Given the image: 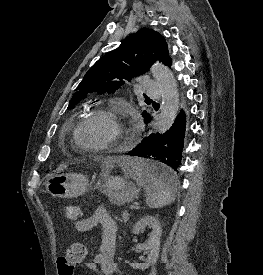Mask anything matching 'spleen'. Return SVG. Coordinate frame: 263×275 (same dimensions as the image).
I'll list each match as a JSON object with an SVG mask.
<instances>
[{"label":"spleen","instance_id":"obj_1","mask_svg":"<svg viewBox=\"0 0 263 275\" xmlns=\"http://www.w3.org/2000/svg\"><path fill=\"white\" fill-rule=\"evenodd\" d=\"M122 167L128 177L144 188L146 203L150 208H161L175 200V188L150 174L152 166L145 160L127 158L122 162Z\"/></svg>","mask_w":263,"mask_h":275}]
</instances>
